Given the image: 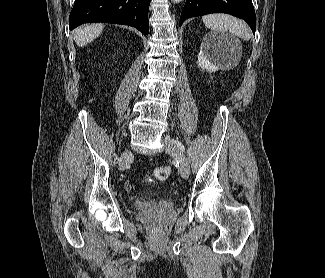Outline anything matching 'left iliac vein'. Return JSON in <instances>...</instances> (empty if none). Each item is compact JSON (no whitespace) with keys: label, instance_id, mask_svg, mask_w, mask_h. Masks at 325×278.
I'll return each mask as SVG.
<instances>
[{"label":"left iliac vein","instance_id":"1","mask_svg":"<svg viewBox=\"0 0 325 278\" xmlns=\"http://www.w3.org/2000/svg\"><path fill=\"white\" fill-rule=\"evenodd\" d=\"M165 144L166 152L179 162V171L181 176L184 179H187L190 174V165L187 157L179 150L178 146L172 139L166 138Z\"/></svg>","mask_w":325,"mask_h":278}]
</instances>
